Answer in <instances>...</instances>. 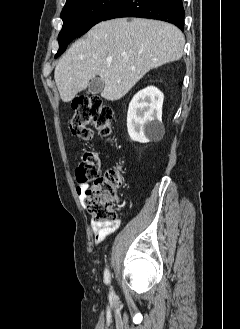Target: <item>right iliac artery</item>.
I'll list each match as a JSON object with an SVG mask.
<instances>
[{"label": "right iliac artery", "mask_w": 240, "mask_h": 329, "mask_svg": "<svg viewBox=\"0 0 240 329\" xmlns=\"http://www.w3.org/2000/svg\"><path fill=\"white\" fill-rule=\"evenodd\" d=\"M104 282L110 284V272L107 268L104 271Z\"/></svg>", "instance_id": "right-iliac-artery-1"}]
</instances>
